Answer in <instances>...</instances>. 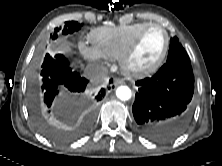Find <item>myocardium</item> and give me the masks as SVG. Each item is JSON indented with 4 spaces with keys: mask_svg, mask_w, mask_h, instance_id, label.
Segmentation results:
<instances>
[{
    "mask_svg": "<svg viewBox=\"0 0 222 166\" xmlns=\"http://www.w3.org/2000/svg\"><path fill=\"white\" fill-rule=\"evenodd\" d=\"M154 27L160 28L165 34V44H164V47L162 49L160 56L151 66H149L147 68H144V69L132 68L129 65V59H130L131 55L135 51L136 47L138 46V44H139L141 38L143 37V35L145 34V32L151 28H154ZM169 46H170V35H169L168 30L162 24L148 23L134 36V38L130 41L128 46L125 48V50L121 54V56L119 58L120 66L125 73L132 75V76H144V75H149L151 73H154L156 70L159 69V67L164 62V60L167 56L168 50H169Z\"/></svg>",
    "mask_w": 222,
    "mask_h": 166,
    "instance_id": "myocardium-1",
    "label": "myocardium"
}]
</instances>
